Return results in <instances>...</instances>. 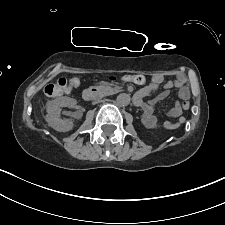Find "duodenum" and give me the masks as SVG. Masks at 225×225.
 Listing matches in <instances>:
<instances>
[{
    "label": "duodenum",
    "mask_w": 225,
    "mask_h": 225,
    "mask_svg": "<svg viewBox=\"0 0 225 225\" xmlns=\"http://www.w3.org/2000/svg\"><path fill=\"white\" fill-rule=\"evenodd\" d=\"M98 96H100V92L94 88L93 89L87 88L83 91V98L87 101H91ZM136 101L137 98L134 97V102L137 105Z\"/></svg>",
    "instance_id": "410a0bca"
}]
</instances>
